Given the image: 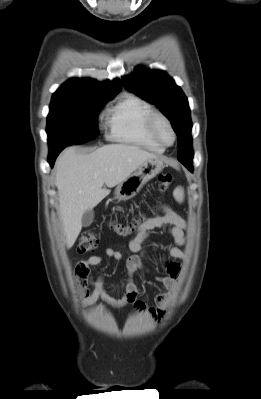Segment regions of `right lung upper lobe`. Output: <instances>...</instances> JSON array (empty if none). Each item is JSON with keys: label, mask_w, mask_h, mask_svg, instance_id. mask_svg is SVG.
<instances>
[{"label": "right lung upper lobe", "mask_w": 261, "mask_h": 399, "mask_svg": "<svg viewBox=\"0 0 261 399\" xmlns=\"http://www.w3.org/2000/svg\"><path fill=\"white\" fill-rule=\"evenodd\" d=\"M121 89L119 79L98 82L89 78H72L53 94L52 99L113 98Z\"/></svg>", "instance_id": "obj_1"}]
</instances>
